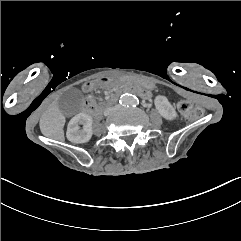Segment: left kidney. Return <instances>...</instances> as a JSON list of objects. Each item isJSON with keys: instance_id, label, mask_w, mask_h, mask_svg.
<instances>
[{"instance_id": "left-kidney-1", "label": "left kidney", "mask_w": 241, "mask_h": 241, "mask_svg": "<svg viewBox=\"0 0 241 241\" xmlns=\"http://www.w3.org/2000/svg\"><path fill=\"white\" fill-rule=\"evenodd\" d=\"M154 106L159 115L168 122H173L178 118V113L173 104L164 95H156L154 97Z\"/></svg>"}]
</instances>
